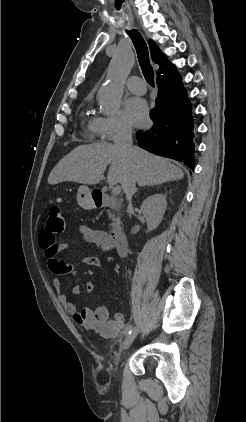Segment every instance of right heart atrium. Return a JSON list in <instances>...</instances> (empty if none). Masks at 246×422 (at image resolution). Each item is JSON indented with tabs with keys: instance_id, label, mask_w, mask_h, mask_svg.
I'll return each instance as SVG.
<instances>
[{
	"instance_id": "right-heart-atrium-1",
	"label": "right heart atrium",
	"mask_w": 246,
	"mask_h": 422,
	"mask_svg": "<svg viewBox=\"0 0 246 422\" xmlns=\"http://www.w3.org/2000/svg\"><path fill=\"white\" fill-rule=\"evenodd\" d=\"M95 129L96 134L104 141H115L132 131L131 125L121 117H97Z\"/></svg>"
}]
</instances>
